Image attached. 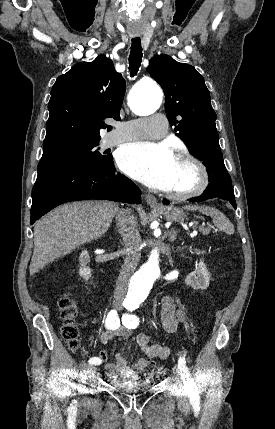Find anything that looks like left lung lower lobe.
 Instances as JSON below:
<instances>
[{"label":"left lung lower lobe","instance_id":"left-lung-lower-lobe-1","mask_svg":"<svg viewBox=\"0 0 275 429\" xmlns=\"http://www.w3.org/2000/svg\"><path fill=\"white\" fill-rule=\"evenodd\" d=\"M210 198H221L229 201L232 206L236 209L235 195L233 191L232 183L226 181H213L210 182L207 189L204 193L195 199H192V202H198L207 200ZM170 202L166 199L163 200V204L168 205Z\"/></svg>","mask_w":275,"mask_h":429}]
</instances>
